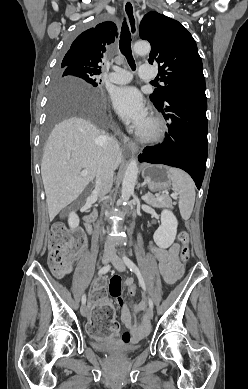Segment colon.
Listing matches in <instances>:
<instances>
[{
	"instance_id": "obj_1",
	"label": "colon",
	"mask_w": 248,
	"mask_h": 389,
	"mask_svg": "<svg viewBox=\"0 0 248 389\" xmlns=\"http://www.w3.org/2000/svg\"><path fill=\"white\" fill-rule=\"evenodd\" d=\"M179 241L182 244L180 258L187 262L190 256L189 234L187 231L179 233ZM83 248V237L78 232L69 229L62 223L54 224L48 238V265L52 273L62 277L70 268L73 254L79 253ZM108 284L107 278H97L93 282V292L91 301L95 303L92 306L93 320L86 327V332L91 333L96 338L97 344H106L107 340H113L117 332V323L114 319L115 312L113 307L108 304L110 301L106 293L105 285ZM128 294L134 296L138 291V284H129ZM125 341V339H123Z\"/></svg>"
}]
</instances>
